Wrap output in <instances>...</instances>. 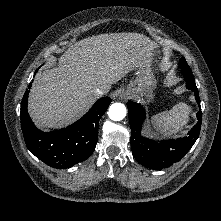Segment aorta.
Returning <instances> with one entry per match:
<instances>
[{
  "instance_id": "aorta-1",
  "label": "aorta",
  "mask_w": 221,
  "mask_h": 221,
  "mask_svg": "<svg viewBox=\"0 0 221 221\" xmlns=\"http://www.w3.org/2000/svg\"><path fill=\"white\" fill-rule=\"evenodd\" d=\"M126 107L122 103H114L109 107L108 116L113 121H121L126 116Z\"/></svg>"
}]
</instances>
